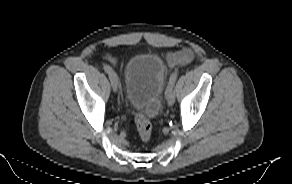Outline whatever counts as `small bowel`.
I'll return each mask as SVG.
<instances>
[{
  "label": "small bowel",
  "instance_id": "small-bowel-1",
  "mask_svg": "<svg viewBox=\"0 0 292 184\" xmlns=\"http://www.w3.org/2000/svg\"><path fill=\"white\" fill-rule=\"evenodd\" d=\"M193 60V53L189 48H184L177 52H173L167 55V62L170 67L184 66L189 64ZM115 63L114 60H112Z\"/></svg>",
  "mask_w": 292,
  "mask_h": 184
}]
</instances>
